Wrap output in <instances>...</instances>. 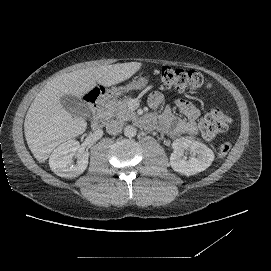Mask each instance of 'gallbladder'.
I'll list each match as a JSON object with an SVG mask.
<instances>
[{"label": "gallbladder", "instance_id": "gallbladder-1", "mask_svg": "<svg viewBox=\"0 0 271 271\" xmlns=\"http://www.w3.org/2000/svg\"><path fill=\"white\" fill-rule=\"evenodd\" d=\"M60 102L63 108L73 116L86 117L88 115V107L76 96L64 95Z\"/></svg>", "mask_w": 271, "mask_h": 271}]
</instances>
